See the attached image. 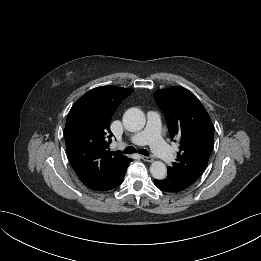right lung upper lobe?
Returning <instances> with one entry per match:
<instances>
[{
  "instance_id": "cb5924a9",
  "label": "right lung upper lobe",
  "mask_w": 261,
  "mask_h": 261,
  "mask_svg": "<svg viewBox=\"0 0 261 261\" xmlns=\"http://www.w3.org/2000/svg\"><path fill=\"white\" fill-rule=\"evenodd\" d=\"M132 91L97 87L79 98L69 111L64 130L67 155L80 181L95 191L116 181L132 161L108 148L113 136L110 119Z\"/></svg>"
}]
</instances>
